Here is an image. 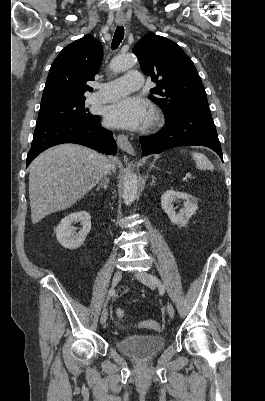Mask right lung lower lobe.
<instances>
[{
	"label": "right lung lower lobe",
	"instance_id": "right-lung-lower-lobe-1",
	"mask_svg": "<svg viewBox=\"0 0 265 401\" xmlns=\"http://www.w3.org/2000/svg\"><path fill=\"white\" fill-rule=\"evenodd\" d=\"M77 143L105 154H116V143L110 131L99 120L52 119L36 124L27 166L41 152L54 145Z\"/></svg>",
	"mask_w": 265,
	"mask_h": 401
}]
</instances>
